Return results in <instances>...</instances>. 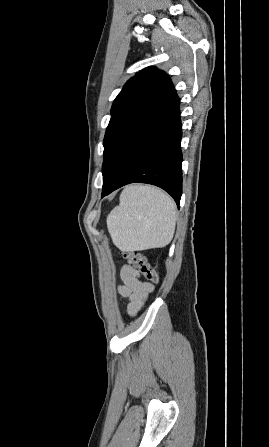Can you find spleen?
<instances>
[{
	"label": "spleen",
	"instance_id": "spleen-1",
	"mask_svg": "<svg viewBox=\"0 0 269 447\" xmlns=\"http://www.w3.org/2000/svg\"><path fill=\"white\" fill-rule=\"evenodd\" d=\"M119 206L110 212L107 227L121 251H141L170 243L176 225L172 198L154 186H125Z\"/></svg>",
	"mask_w": 269,
	"mask_h": 447
}]
</instances>
